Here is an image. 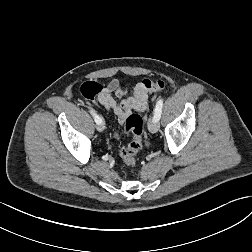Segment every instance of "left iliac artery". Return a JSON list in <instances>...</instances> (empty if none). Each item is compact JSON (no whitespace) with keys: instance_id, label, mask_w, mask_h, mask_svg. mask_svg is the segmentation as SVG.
I'll use <instances>...</instances> for the list:
<instances>
[{"instance_id":"left-iliac-artery-1","label":"left iliac artery","mask_w":252,"mask_h":252,"mask_svg":"<svg viewBox=\"0 0 252 252\" xmlns=\"http://www.w3.org/2000/svg\"><path fill=\"white\" fill-rule=\"evenodd\" d=\"M162 106H163V100L159 99L157 101L155 109H154V120L155 121H159V119L161 117Z\"/></svg>"}]
</instances>
